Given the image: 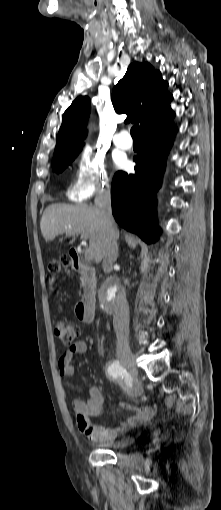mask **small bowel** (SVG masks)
<instances>
[{
  "label": "small bowel",
  "instance_id": "small-bowel-1",
  "mask_svg": "<svg viewBox=\"0 0 221 510\" xmlns=\"http://www.w3.org/2000/svg\"><path fill=\"white\" fill-rule=\"evenodd\" d=\"M87 343L84 340L75 342L58 360V371L66 379L74 375L73 360L77 355L87 351ZM127 393L133 395L134 390L125 386ZM104 398L100 389L92 386L88 389L86 401L80 399L72 400V408L76 414L78 426L81 431L92 441L109 442L118 435L149 421L158 411V404L152 406H134L124 402L117 404L118 409L131 412V415L124 421L115 425H97L90 421V417L99 415L103 410Z\"/></svg>",
  "mask_w": 221,
  "mask_h": 510
}]
</instances>
